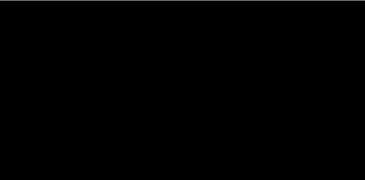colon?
Here are the masks:
<instances>
[{"label": "colon", "instance_id": "obj_1", "mask_svg": "<svg viewBox=\"0 0 365 180\" xmlns=\"http://www.w3.org/2000/svg\"><path fill=\"white\" fill-rule=\"evenodd\" d=\"M233 87H234V86H232L231 92L229 93V95L227 96V98H226L225 100H227V99H228V97L230 96V94L232 93V91H233Z\"/></svg>", "mask_w": 365, "mask_h": 180}]
</instances>
